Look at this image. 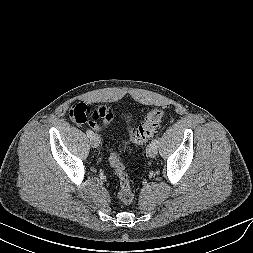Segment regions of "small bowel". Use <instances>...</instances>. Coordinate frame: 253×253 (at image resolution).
I'll return each mask as SVG.
<instances>
[{
  "label": "small bowel",
  "instance_id": "1",
  "mask_svg": "<svg viewBox=\"0 0 253 253\" xmlns=\"http://www.w3.org/2000/svg\"><path fill=\"white\" fill-rule=\"evenodd\" d=\"M94 114L95 115L93 120L90 122V126L97 131L105 129L107 126L110 125V123L113 120V112L111 111L110 108L106 106L96 108L94 110ZM97 119H102V123L100 124L96 123Z\"/></svg>",
  "mask_w": 253,
  "mask_h": 253
}]
</instances>
